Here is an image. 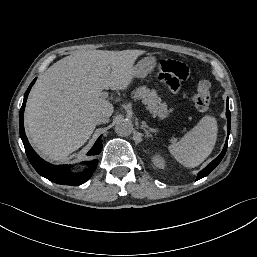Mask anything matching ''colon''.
Instances as JSON below:
<instances>
[{"mask_svg": "<svg viewBox=\"0 0 257 257\" xmlns=\"http://www.w3.org/2000/svg\"><path fill=\"white\" fill-rule=\"evenodd\" d=\"M211 104V84L203 78L199 81L194 95V105L199 112H206Z\"/></svg>", "mask_w": 257, "mask_h": 257, "instance_id": "obj_1", "label": "colon"}]
</instances>
